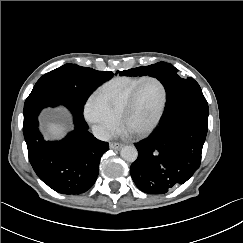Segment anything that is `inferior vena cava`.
Returning <instances> with one entry per match:
<instances>
[{
	"label": "inferior vena cava",
	"mask_w": 243,
	"mask_h": 243,
	"mask_svg": "<svg viewBox=\"0 0 243 243\" xmlns=\"http://www.w3.org/2000/svg\"><path fill=\"white\" fill-rule=\"evenodd\" d=\"M92 134L99 140L109 141L112 139V133L103 125H93Z\"/></svg>",
	"instance_id": "1"
}]
</instances>
